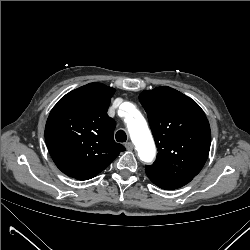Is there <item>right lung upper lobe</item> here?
Returning <instances> with one entry per match:
<instances>
[{
  "label": "right lung upper lobe",
  "instance_id": "1",
  "mask_svg": "<svg viewBox=\"0 0 250 250\" xmlns=\"http://www.w3.org/2000/svg\"><path fill=\"white\" fill-rule=\"evenodd\" d=\"M114 92L90 83L66 94L51 110L45 140L56 166L67 176L90 179L125 150L114 141L116 123L107 115Z\"/></svg>",
  "mask_w": 250,
  "mask_h": 250
}]
</instances>
